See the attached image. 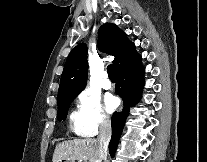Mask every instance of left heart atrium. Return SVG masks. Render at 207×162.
Returning a JSON list of instances; mask_svg holds the SVG:
<instances>
[{
  "label": "left heart atrium",
  "mask_w": 207,
  "mask_h": 162,
  "mask_svg": "<svg viewBox=\"0 0 207 162\" xmlns=\"http://www.w3.org/2000/svg\"><path fill=\"white\" fill-rule=\"evenodd\" d=\"M104 103H105V108L109 112L113 111L118 105L117 99L112 95H107L105 97Z\"/></svg>",
  "instance_id": "left-heart-atrium-1"
}]
</instances>
